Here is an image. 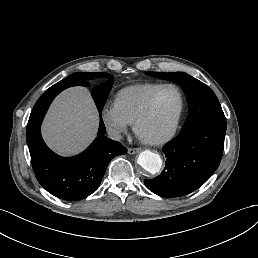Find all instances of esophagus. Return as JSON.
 <instances>
[{
	"mask_svg": "<svg viewBox=\"0 0 258 258\" xmlns=\"http://www.w3.org/2000/svg\"><path fill=\"white\" fill-rule=\"evenodd\" d=\"M141 151V148H128L129 154H136Z\"/></svg>",
	"mask_w": 258,
	"mask_h": 258,
	"instance_id": "obj_1",
	"label": "esophagus"
}]
</instances>
